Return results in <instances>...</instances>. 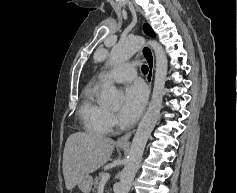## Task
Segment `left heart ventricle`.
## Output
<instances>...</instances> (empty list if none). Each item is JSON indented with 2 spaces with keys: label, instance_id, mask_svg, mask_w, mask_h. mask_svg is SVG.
<instances>
[{
  "label": "left heart ventricle",
  "instance_id": "b2bd125f",
  "mask_svg": "<svg viewBox=\"0 0 237 193\" xmlns=\"http://www.w3.org/2000/svg\"><path fill=\"white\" fill-rule=\"evenodd\" d=\"M112 110H113V111H116V110H117V108H113Z\"/></svg>",
  "mask_w": 237,
  "mask_h": 193
}]
</instances>
